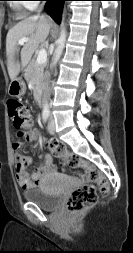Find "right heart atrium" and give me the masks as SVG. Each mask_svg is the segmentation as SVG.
Wrapping results in <instances>:
<instances>
[{
  "label": "right heart atrium",
  "mask_w": 133,
  "mask_h": 253,
  "mask_svg": "<svg viewBox=\"0 0 133 253\" xmlns=\"http://www.w3.org/2000/svg\"><path fill=\"white\" fill-rule=\"evenodd\" d=\"M35 1L36 0H26V2H25L26 8H28V9L34 8L36 6V2Z\"/></svg>",
  "instance_id": "obj_1"
}]
</instances>
